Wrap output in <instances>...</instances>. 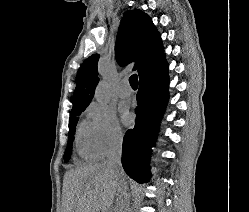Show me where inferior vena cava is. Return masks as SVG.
I'll return each instance as SVG.
<instances>
[{"label": "inferior vena cava", "instance_id": "1", "mask_svg": "<svg viewBox=\"0 0 249 212\" xmlns=\"http://www.w3.org/2000/svg\"><path fill=\"white\" fill-rule=\"evenodd\" d=\"M122 144L123 138H119V140H115L113 144H110V148L107 152L106 164L113 166L117 174L118 194H116V196H118V198L115 200V212H132L129 202L128 184L125 178L121 176V172H123L121 164Z\"/></svg>", "mask_w": 249, "mask_h": 212}]
</instances>
